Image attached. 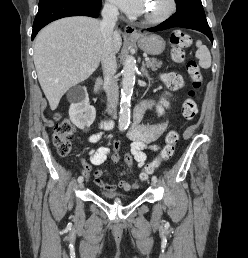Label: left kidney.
Returning <instances> with one entry per match:
<instances>
[{
    "label": "left kidney",
    "mask_w": 248,
    "mask_h": 258,
    "mask_svg": "<svg viewBox=\"0 0 248 258\" xmlns=\"http://www.w3.org/2000/svg\"><path fill=\"white\" fill-rule=\"evenodd\" d=\"M164 107H169V102L165 99H161L160 103L156 106V110L159 116L164 114Z\"/></svg>",
    "instance_id": "1"
}]
</instances>
